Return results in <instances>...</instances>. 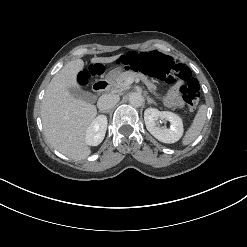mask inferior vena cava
Instances as JSON below:
<instances>
[{"instance_id":"inferior-vena-cava-1","label":"inferior vena cava","mask_w":247,"mask_h":247,"mask_svg":"<svg viewBox=\"0 0 247 247\" xmlns=\"http://www.w3.org/2000/svg\"><path fill=\"white\" fill-rule=\"evenodd\" d=\"M120 98L115 94H106L99 98L97 106L101 111H109L119 102Z\"/></svg>"}]
</instances>
